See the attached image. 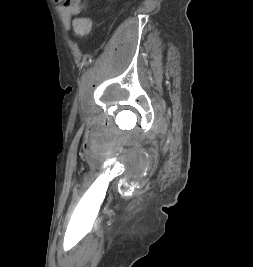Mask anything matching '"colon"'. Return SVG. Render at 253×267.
Returning <instances> with one entry per match:
<instances>
[{"label":"colon","instance_id":"obj_1","mask_svg":"<svg viewBox=\"0 0 253 267\" xmlns=\"http://www.w3.org/2000/svg\"><path fill=\"white\" fill-rule=\"evenodd\" d=\"M72 28L78 38H85L89 35L92 28L91 19L88 17H78L73 21Z\"/></svg>","mask_w":253,"mask_h":267}]
</instances>
